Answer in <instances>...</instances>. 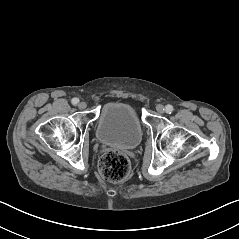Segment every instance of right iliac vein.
Returning <instances> with one entry per match:
<instances>
[{"instance_id": "1", "label": "right iliac vein", "mask_w": 239, "mask_h": 239, "mask_svg": "<svg viewBox=\"0 0 239 239\" xmlns=\"http://www.w3.org/2000/svg\"><path fill=\"white\" fill-rule=\"evenodd\" d=\"M78 107H79V109H85L87 107V104H86V102H80L78 104Z\"/></svg>"}]
</instances>
